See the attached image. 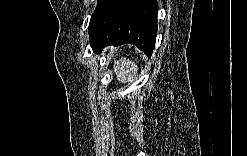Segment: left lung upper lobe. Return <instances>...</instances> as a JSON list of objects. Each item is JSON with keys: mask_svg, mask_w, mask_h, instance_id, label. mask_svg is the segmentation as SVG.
Wrapping results in <instances>:
<instances>
[{"mask_svg": "<svg viewBox=\"0 0 247 156\" xmlns=\"http://www.w3.org/2000/svg\"><path fill=\"white\" fill-rule=\"evenodd\" d=\"M102 2H103V0H99V1H98V5H97V7H96V9H95V12L93 13V15H92V17H91L90 22L92 21V19H93V17H94V15H95V13H96V11H97V9H98V8H99V6L102 4Z\"/></svg>", "mask_w": 247, "mask_h": 156, "instance_id": "1", "label": "left lung upper lobe"}]
</instances>
